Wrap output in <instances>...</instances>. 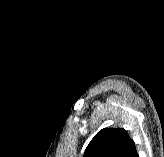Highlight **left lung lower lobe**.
<instances>
[{"instance_id":"1","label":"left lung lower lobe","mask_w":164,"mask_h":157,"mask_svg":"<svg viewBox=\"0 0 164 157\" xmlns=\"http://www.w3.org/2000/svg\"><path fill=\"white\" fill-rule=\"evenodd\" d=\"M128 157H139V155L137 154L135 145L133 149L131 150V152L129 153Z\"/></svg>"}]
</instances>
